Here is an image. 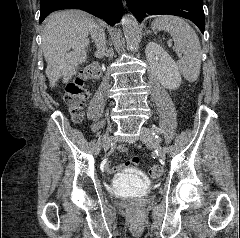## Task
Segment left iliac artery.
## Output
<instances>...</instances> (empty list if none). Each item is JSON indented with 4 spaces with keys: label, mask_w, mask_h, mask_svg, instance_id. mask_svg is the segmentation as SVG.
Instances as JSON below:
<instances>
[{
    "label": "left iliac artery",
    "mask_w": 240,
    "mask_h": 238,
    "mask_svg": "<svg viewBox=\"0 0 240 238\" xmlns=\"http://www.w3.org/2000/svg\"><path fill=\"white\" fill-rule=\"evenodd\" d=\"M153 131L157 132V134L161 136L158 138L161 150H166V148L170 146V143L168 142L169 140L166 137V133L163 132L162 129H158L157 127H153Z\"/></svg>",
    "instance_id": "left-iliac-artery-1"
}]
</instances>
